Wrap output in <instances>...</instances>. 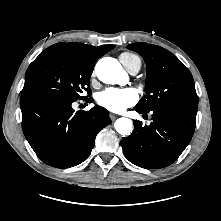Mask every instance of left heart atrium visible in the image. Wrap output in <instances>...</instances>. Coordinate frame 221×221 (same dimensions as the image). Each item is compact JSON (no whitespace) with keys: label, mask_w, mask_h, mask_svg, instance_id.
I'll return each mask as SVG.
<instances>
[{"label":"left heart atrium","mask_w":221,"mask_h":221,"mask_svg":"<svg viewBox=\"0 0 221 221\" xmlns=\"http://www.w3.org/2000/svg\"><path fill=\"white\" fill-rule=\"evenodd\" d=\"M137 100L138 94L133 88H108L97 95V103L115 113L123 112Z\"/></svg>","instance_id":"1"}]
</instances>
